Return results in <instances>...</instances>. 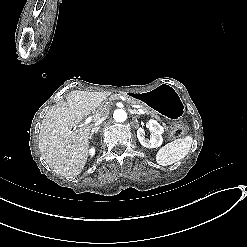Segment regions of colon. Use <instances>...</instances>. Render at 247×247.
<instances>
[{
  "label": "colon",
  "instance_id": "colon-1",
  "mask_svg": "<svg viewBox=\"0 0 247 247\" xmlns=\"http://www.w3.org/2000/svg\"><path fill=\"white\" fill-rule=\"evenodd\" d=\"M186 131V124L183 121H177L173 123L171 127V139L180 138Z\"/></svg>",
  "mask_w": 247,
  "mask_h": 247
}]
</instances>
